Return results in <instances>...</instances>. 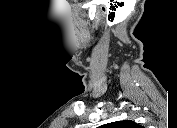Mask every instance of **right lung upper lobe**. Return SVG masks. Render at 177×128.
I'll use <instances>...</instances> for the list:
<instances>
[{
  "label": "right lung upper lobe",
  "mask_w": 177,
  "mask_h": 128,
  "mask_svg": "<svg viewBox=\"0 0 177 128\" xmlns=\"http://www.w3.org/2000/svg\"><path fill=\"white\" fill-rule=\"evenodd\" d=\"M109 128H140L141 126L131 120L116 121L106 125Z\"/></svg>",
  "instance_id": "1"
}]
</instances>
